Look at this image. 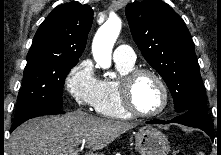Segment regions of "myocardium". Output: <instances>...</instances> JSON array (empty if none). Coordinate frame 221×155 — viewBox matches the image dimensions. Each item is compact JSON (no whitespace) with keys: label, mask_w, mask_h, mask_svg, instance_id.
Listing matches in <instances>:
<instances>
[{"label":"myocardium","mask_w":221,"mask_h":155,"mask_svg":"<svg viewBox=\"0 0 221 155\" xmlns=\"http://www.w3.org/2000/svg\"><path fill=\"white\" fill-rule=\"evenodd\" d=\"M144 75L151 76L155 79L158 85L161 88L163 94V102L161 107L154 112H142L140 111L133 99V88L136 81ZM119 94L123 108L132 116L143 117V118H151L161 115L168 107L169 104V90L168 87L163 80V78L155 71L146 68H135L132 71L128 72L119 82Z\"/></svg>","instance_id":"obj_1"}]
</instances>
